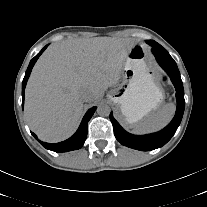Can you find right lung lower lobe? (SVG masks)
Returning <instances> with one entry per match:
<instances>
[{"label": "right lung lower lobe", "mask_w": 207, "mask_h": 207, "mask_svg": "<svg viewBox=\"0 0 207 207\" xmlns=\"http://www.w3.org/2000/svg\"><path fill=\"white\" fill-rule=\"evenodd\" d=\"M48 45H46L30 62L27 71L25 73V77L23 79L22 82V107L24 104V90L26 87V83L27 80L30 76L31 70L35 64V62L37 61V59L39 58V56L44 52V50L47 48ZM96 110V107H92L90 108L87 113L85 114V116L82 119V122L78 128V130L76 131V133L70 137L69 139L60 142V143H56V144H49L46 142H41L43 147H45L48 150L54 151V152H67V151H72V150H77L79 148H81L86 140L87 137V125H88V121L90 120V118L92 117V115L94 114ZM31 134L37 139V136L31 132ZM38 140V139H37Z\"/></svg>", "instance_id": "right-lung-lower-lobe-1"}]
</instances>
